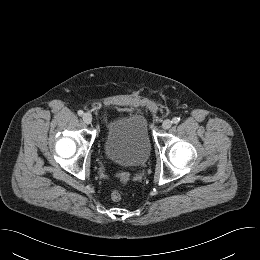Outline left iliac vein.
I'll list each match as a JSON object with an SVG mask.
<instances>
[{
	"mask_svg": "<svg viewBox=\"0 0 260 260\" xmlns=\"http://www.w3.org/2000/svg\"><path fill=\"white\" fill-rule=\"evenodd\" d=\"M172 126V121L169 119H166L162 123V128L163 129H169Z\"/></svg>",
	"mask_w": 260,
	"mask_h": 260,
	"instance_id": "left-iliac-vein-1",
	"label": "left iliac vein"
}]
</instances>
